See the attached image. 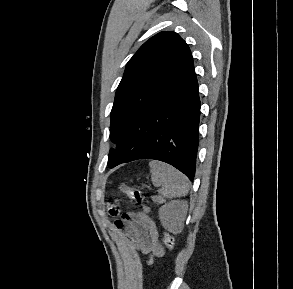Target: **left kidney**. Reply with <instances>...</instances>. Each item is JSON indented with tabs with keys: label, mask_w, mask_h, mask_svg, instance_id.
Returning a JSON list of instances; mask_svg holds the SVG:
<instances>
[{
	"label": "left kidney",
	"mask_w": 293,
	"mask_h": 289,
	"mask_svg": "<svg viewBox=\"0 0 293 289\" xmlns=\"http://www.w3.org/2000/svg\"><path fill=\"white\" fill-rule=\"evenodd\" d=\"M187 208V202L183 200H174L164 204L159 209V219L163 227L172 233H177L183 226Z\"/></svg>",
	"instance_id": "left-kidney-1"
}]
</instances>
